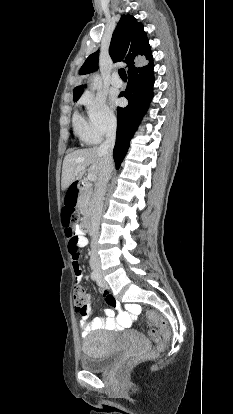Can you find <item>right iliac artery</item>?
Returning a JSON list of instances; mask_svg holds the SVG:
<instances>
[{"mask_svg":"<svg viewBox=\"0 0 233 414\" xmlns=\"http://www.w3.org/2000/svg\"><path fill=\"white\" fill-rule=\"evenodd\" d=\"M91 279H92L93 281H97V280H98V275H97V273H96L95 271H93V272L91 273Z\"/></svg>","mask_w":233,"mask_h":414,"instance_id":"82829eb1","label":"right iliac artery"}]
</instances>
